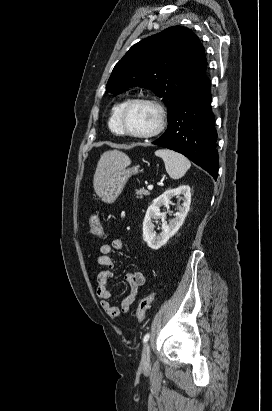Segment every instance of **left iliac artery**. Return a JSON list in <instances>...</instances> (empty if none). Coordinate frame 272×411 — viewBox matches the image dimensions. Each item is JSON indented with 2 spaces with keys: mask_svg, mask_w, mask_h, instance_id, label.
<instances>
[{
  "mask_svg": "<svg viewBox=\"0 0 272 411\" xmlns=\"http://www.w3.org/2000/svg\"><path fill=\"white\" fill-rule=\"evenodd\" d=\"M149 337H150L149 333L145 334V336L143 338V343H146L148 341Z\"/></svg>",
  "mask_w": 272,
  "mask_h": 411,
  "instance_id": "1",
  "label": "left iliac artery"
}]
</instances>
